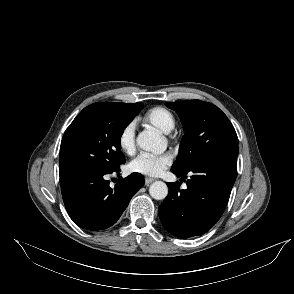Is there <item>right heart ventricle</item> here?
Wrapping results in <instances>:
<instances>
[{
	"label": "right heart ventricle",
	"instance_id": "e07e8e85",
	"mask_svg": "<svg viewBox=\"0 0 294 294\" xmlns=\"http://www.w3.org/2000/svg\"><path fill=\"white\" fill-rule=\"evenodd\" d=\"M143 122L156 128L162 133L171 132L176 126V117L169 109L157 106L148 110L144 117Z\"/></svg>",
	"mask_w": 294,
	"mask_h": 294
}]
</instances>
